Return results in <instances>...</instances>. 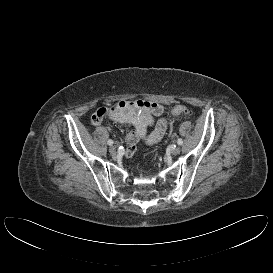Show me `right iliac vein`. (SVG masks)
Returning <instances> with one entry per match:
<instances>
[{
  "label": "right iliac vein",
  "instance_id": "1",
  "mask_svg": "<svg viewBox=\"0 0 273 273\" xmlns=\"http://www.w3.org/2000/svg\"><path fill=\"white\" fill-rule=\"evenodd\" d=\"M109 152H110L111 154H115V153H116V148H115L114 146H111V147L109 148Z\"/></svg>",
  "mask_w": 273,
  "mask_h": 273
}]
</instances>
